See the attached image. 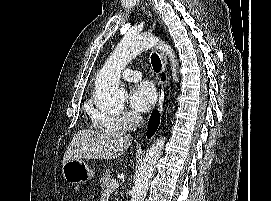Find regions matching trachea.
Here are the masks:
<instances>
[{"label":"trachea","mask_w":271,"mask_h":201,"mask_svg":"<svg viewBox=\"0 0 271 201\" xmlns=\"http://www.w3.org/2000/svg\"><path fill=\"white\" fill-rule=\"evenodd\" d=\"M151 64L155 72H159L161 70V60L156 53L151 55Z\"/></svg>","instance_id":"trachea-1"}]
</instances>
